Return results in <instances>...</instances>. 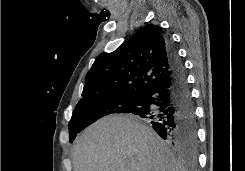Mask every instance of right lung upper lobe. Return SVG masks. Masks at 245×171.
Instances as JSON below:
<instances>
[{"label": "right lung upper lobe", "mask_w": 245, "mask_h": 171, "mask_svg": "<svg viewBox=\"0 0 245 171\" xmlns=\"http://www.w3.org/2000/svg\"><path fill=\"white\" fill-rule=\"evenodd\" d=\"M168 42L160 26L149 24L115 51L100 54L86 75L81 101L140 96L170 75Z\"/></svg>", "instance_id": "1"}]
</instances>
